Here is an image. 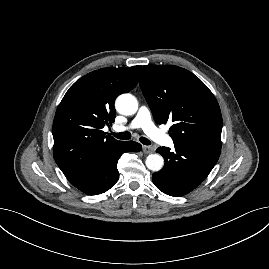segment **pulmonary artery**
<instances>
[{"label": "pulmonary artery", "instance_id": "obj_1", "mask_svg": "<svg viewBox=\"0 0 269 269\" xmlns=\"http://www.w3.org/2000/svg\"><path fill=\"white\" fill-rule=\"evenodd\" d=\"M141 128L154 141L161 145L173 146V140L164 132L159 130L153 123L150 110L147 106H141L128 126H114V131L123 132L129 129Z\"/></svg>", "mask_w": 269, "mask_h": 269}]
</instances>
